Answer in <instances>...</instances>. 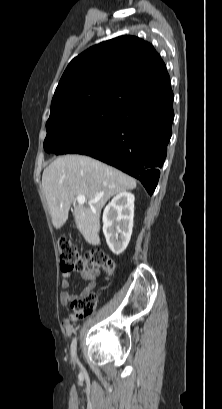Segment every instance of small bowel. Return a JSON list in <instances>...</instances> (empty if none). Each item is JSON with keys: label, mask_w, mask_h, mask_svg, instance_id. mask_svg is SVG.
Here are the masks:
<instances>
[{"label": "small bowel", "mask_w": 222, "mask_h": 409, "mask_svg": "<svg viewBox=\"0 0 222 409\" xmlns=\"http://www.w3.org/2000/svg\"><path fill=\"white\" fill-rule=\"evenodd\" d=\"M99 275V269L95 268L90 271H83L80 273V276L83 280L87 282L85 288L83 289L82 293L90 292L96 286V281ZM62 280H61V288L63 289L60 293V302L63 306H67L70 301L74 298V295L71 294L67 289L70 287V280L72 275L68 272L62 273ZM76 322V318L70 315L68 318L63 320V328L67 334H70L74 329V323Z\"/></svg>", "instance_id": "obj_1"}]
</instances>
